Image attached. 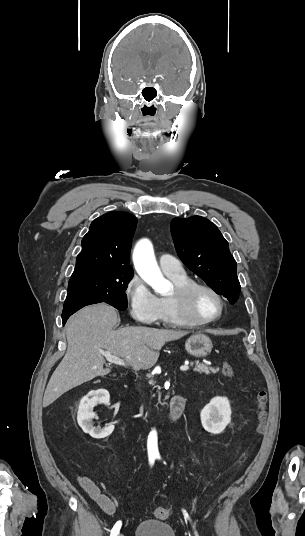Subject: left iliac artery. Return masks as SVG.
Masks as SVG:
<instances>
[{
	"mask_svg": "<svg viewBox=\"0 0 305 536\" xmlns=\"http://www.w3.org/2000/svg\"><path fill=\"white\" fill-rule=\"evenodd\" d=\"M184 515H185V518L188 517V514L186 513V511H184ZM196 536H198V535L196 534Z\"/></svg>",
	"mask_w": 305,
	"mask_h": 536,
	"instance_id": "obj_1",
	"label": "left iliac artery"
}]
</instances>
